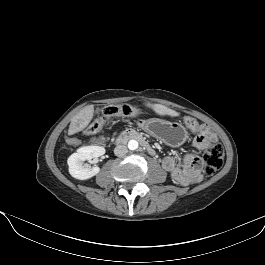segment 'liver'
Listing matches in <instances>:
<instances>
[{
    "instance_id": "1",
    "label": "liver",
    "mask_w": 265,
    "mask_h": 265,
    "mask_svg": "<svg viewBox=\"0 0 265 265\" xmlns=\"http://www.w3.org/2000/svg\"><path fill=\"white\" fill-rule=\"evenodd\" d=\"M145 105L151 108L156 114L160 116L177 117L179 113L161 104H151L146 102ZM94 115V106L88 105L81 109L73 118L69 125L68 134L73 135L80 131H83L91 122Z\"/></svg>"
}]
</instances>
